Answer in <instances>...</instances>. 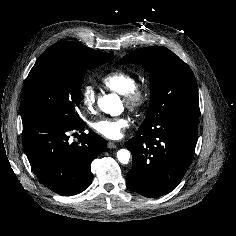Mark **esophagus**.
Returning a JSON list of instances; mask_svg holds the SVG:
<instances>
[{
    "mask_svg": "<svg viewBox=\"0 0 236 236\" xmlns=\"http://www.w3.org/2000/svg\"><path fill=\"white\" fill-rule=\"evenodd\" d=\"M116 147H117V145L115 144V142H113V141H109V142H108V148L114 149V148H116Z\"/></svg>",
    "mask_w": 236,
    "mask_h": 236,
    "instance_id": "obj_1",
    "label": "esophagus"
}]
</instances>
